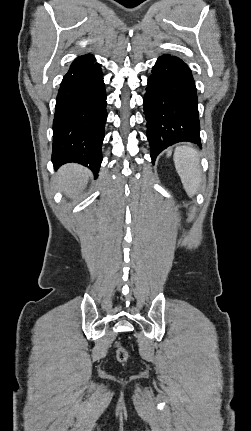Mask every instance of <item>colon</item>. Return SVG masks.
Returning a JSON list of instances; mask_svg holds the SVG:
<instances>
[{"label":"colon","mask_w":251,"mask_h":431,"mask_svg":"<svg viewBox=\"0 0 251 431\" xmlns=\"http://www.w3.org/2000/svg\"><path fill=\"white\" fill-rule=\"evenodd\" d=\"M128 351L120 344L116 343V358L119 362H126L128 360Z\"/></svg>","instance_id":"1"}]
</instances>
